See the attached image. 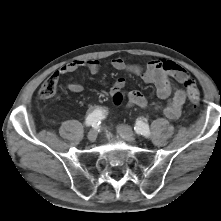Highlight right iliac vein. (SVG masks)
Instances as JSON below:
<instances>
[{
	"mask_svg": "<svg viewBox=\"0 0 221 221\" xmlns=\"http://www.w3.org/2000/svg\"><path fill=\"white\" fill-rule=\"evenodd\" d=\"M97 135H98L97 130H95V129L90 130L89 133H88V135H87L88 140H89L90 142H95V140H96V138H97Z\"/></svg>",
	"mask_w": 221,
	"mask_h": 221,
	"instance_id": "right-iliac-vein-1",
	"label": "right iliac vein"
}]
</instances>
